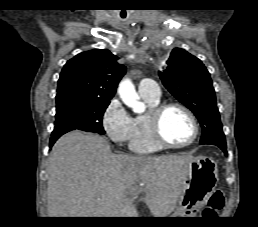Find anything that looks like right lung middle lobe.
Returning <instances> with one entry per match:
<instances>
[{"label":"right lung middle lobe","mask_w":258,"mask_h":227,"mask_svg":"<svg viewBox=\"0 0 258 227\" xmlns=\"http://www.w3.org/2000/svg\"><path fill=\"white\" fill-rule=\"evenodd\" d=\"M56 103L55 128L105 134L102 118L110 102L63 96Z\"/></svg>","instance_id":"right-lung-middle-lobe-1"}]
</instances>
